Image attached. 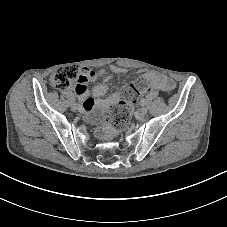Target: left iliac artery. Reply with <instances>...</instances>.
<instances>
[{"label": "left iliac artery", "mask_w": 227, "mask_h": 227, "mask_svg": "<svg viewBox=\"0 0 227 227\" xmlns=\"http://www.w3.org/2000/svg\"><path fill=\"white\" fill-rule=\"evenodd\" d=\"M140 103H141L142 106H144V105L146 104V100H145L144 98H142V99L140 100Z\"/></svg>", "instance_id": "left-iliac-artery-1"}]
</instances>
